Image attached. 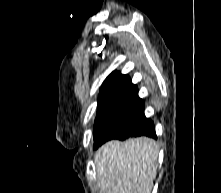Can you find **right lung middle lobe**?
Instances as JSON below:
<instances>
[{
  "mask_svg": "<svg viewBox=\"0 0 221 193\" xmlns=\"http://www.w3.org/2000/svg\"><path fill=\"white\" fill-rule=\"evenodd\" d=\"M146 117L143 102H124L97 111L94 124V149L140 126Z\"/></svg>",
  "mask_w": 221,
  "mask_h": 193,
  "instance_id": "1",
  "label": "right lung middle lobe"
}]
</instances>
